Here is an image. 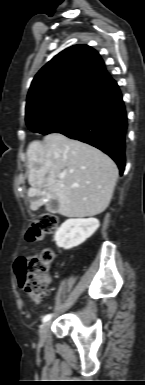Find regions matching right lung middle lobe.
Segmentation results:
<instances>
[{
  "label": "right lung middle lobe",
  "mask_w": 145,
  "mask_h": 385,
  "mask_svg": "<svg viewBox=\"0 0 145 385\" xmlns=\"http://www.w3.org/2000/svg\"><path fill=\"white\" fill-rule=\"evenodd\" d=\"M97 94L87 89H73L59 94L27 113V126L43 135L53 133L82 111Z\"/></svg>",
  "instance_id": "1"
}]
</instances>
